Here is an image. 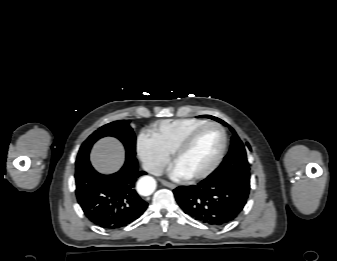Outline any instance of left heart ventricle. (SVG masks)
I'll list each match as a JSON object with an SVG mask.
<instances>
[{
    "mask_svg": "<svg viewBox=\"0 0 337 261\" xmlns=\"http://www.w3.org/2000/svg\"><path fill=\"white\" fill-rule=\"evenodd\" d=\"M222 144L220 131L208 127L201 131L188 150L179 158L176 166L187 176L207 168L216 158Z\"/></svg>",
    "mask_w": 337,
    "mask_h": 261,
    "instance_id": "obj_1",
    "label": "left heart ventricle"
}]
</instances>
